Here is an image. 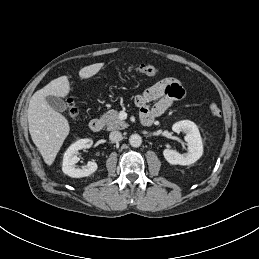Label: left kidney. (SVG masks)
I'll use <instances>...</instances> for the list:
<instances>
[{
  "label": "left kidney",
  "instance_id": "5707ae66",
  "mask_svg": "<svg viewBox=\"0 0 259 259\" xmlns=\"http://www.w3.org/2000/svg\"><path fill=\"white\" fill-rule=\"evenodd\" d=\"M172 130L176 133H186L188 152L180 154L175 150L165 149L163 155L166 161L172 165H190L200 159L203 143L197 125L190 120H182L173 124Z\"/></svg>",
  "mask_w": 259,
  "mask_h": 259
}]
</instances>
